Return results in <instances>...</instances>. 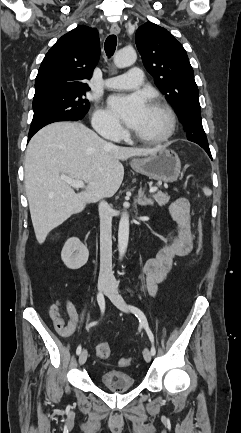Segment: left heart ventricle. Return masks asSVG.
<instances>
[{
    "mask_svg": "<svg viewBox=\"0 0 241 433\" xmlns=\"http://www.w3.org/2000/svg\"><path fill=\"white\" fill-rule=\"evenodd\" d=\"M168 126L169 119L166 113L150 106L143 122L135 131L145 136L157 137L164 134Z\"/></svg>",
    "mask_w": 241,
    "mask_h": 433,
    "instance_id": "obj_1",
    "label": "left heart ventricle"
}]
</instances>
